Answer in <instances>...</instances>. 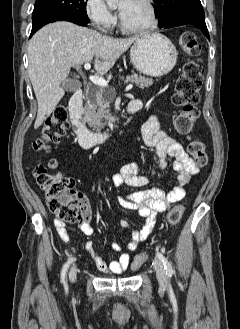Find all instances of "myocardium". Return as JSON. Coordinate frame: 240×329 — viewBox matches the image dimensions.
I'll use <instances>...</instances> for the list:
<instances>
[{"label":"myocardium","mask_w":240,"mask_h":329,"mask_svg":"<svg viewBox=\"0 0 240 329\" xmlns=\"http://www.w3.org/2000/svg\"><path fill=\"white\" fill-rule=\"evenodd\" d=\"M143 2L146 4L149 10L150 22L142 27L132 28V27H128L120 17L119 28L121 29V31L128 34H142V33L150 32L156 28V26L158 25V15H157L156 6L153 0H143Z\"/></svg>","instance_id":"myocardium-1"}]
</instances>
